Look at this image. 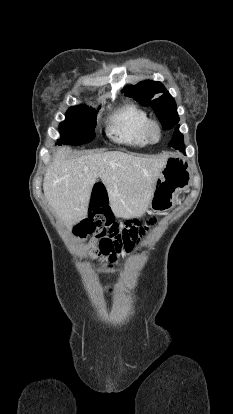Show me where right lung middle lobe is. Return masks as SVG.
I'll return each mask as SVG.
<instances>
[{"label": "right lung middle lobe", "instance_id": "obj_1", "mask_svg": "<svg viewBox=\"0 0 233 414\" xmlns=\"http://www.w3.org/2000/svg\"><path fill=\"white\" fill-rule=\"evenodd\" d=\"M96 112L87 106H73L66 113V120L59 129L61 139L58 144L80 145L90 142L95 137Z\"/></svg>", "mask_w": 233, "mask_h": 414}]
</instances>
